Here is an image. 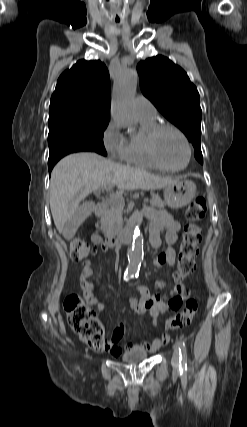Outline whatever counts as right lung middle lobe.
Wrapping results in <instances>:
<instances>
[{
    "instance_id": "dd1d6c3e",
    "label": "right lung middle lobe",
    "mask_w": 247,
    "mask_h": 427,
    "mask_svg": "<svg viewBox=\"0 0 247 427\" xmlns=\"http://www.w3.org/2000/svg\"><path fill=\"white\" fill-rule=\"evenodd\" d=\"M110 115L80 110H61L49 114L48 145L77 144L106 156L103 133Z\"/></svg>"
}]
</instances>
